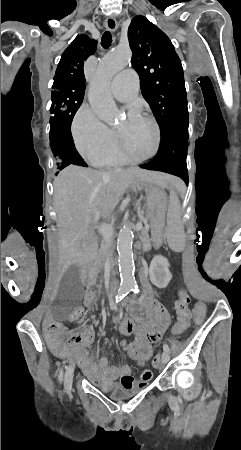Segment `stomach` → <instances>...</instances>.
<instances>
[{"label":"stomach","instance_id":"1","mask_svg":"<svg viewBox=\"0 0 241 450\" xmlns=\"http://www.w3.org/2000/svg\"><path fill=\"white\" fill-rule=\"evenodd\" d=\"M147 216L151 230V242L159 248L164 239L165 214L167 199L163 190L157 186L145 183Z\"/></svg>","mask_w":241,"mask_h":450}]
</instances>
